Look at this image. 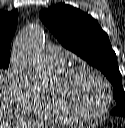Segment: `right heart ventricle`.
<instances>
[{"label":"right heart ventricle","instance_id":"1","mask_svg":"<svg viewBox=\"0 0 125 128\" xmlns=\"http://www.w3.org/2000/svg\"><path fill=\"white\" fill-rule=\"evenodd\" d=\"M54 70L58 73H61L64 71V67L54 68ZM32 113L37 119L47 122L61 124H69L75 122L70 120L58 109L51 93H41Z\"/></svg>","mask_w":125,"mask_h":128}]
</instances>
